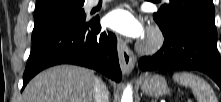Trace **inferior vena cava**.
<instances>
[{
	"label": "inferior vena cava",
	"mask_w": 221,
	"mask_h": 102,
	"mask_svg": "<svg viewBox=\"0 0 221 102\" xmlns=\"http://www.w3.org/2000/svg\"><path fill=\"white\" fill-rule=\"evenodd\" d=\"M94 102H109V93L101 78L95 77L93 88Z\"/></svg>",
	"instance_id": "1"
}]
</instances>
